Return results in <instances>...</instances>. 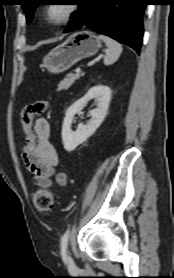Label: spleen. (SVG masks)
Here are the masks:
<instances>
[{
	"mask_svg": "<svg viewBox=\"0 0 174 278\" xmlns=\"http://www.w3.org/2000/svg\"><path fill=\"white\" fill-rule=\"evenodd\" d=\"M98 39L102 40L108 47L107 54L104 58V64L105 65L113 64L115 61H117L120 54L122 53V46L114 39L105 35H99Z\"/></svg>",
	"mask_w": 174,
	"mask_h": 278,
	"instance_id": "obj_1",
	"label": "spleen"
}]
</instances>
